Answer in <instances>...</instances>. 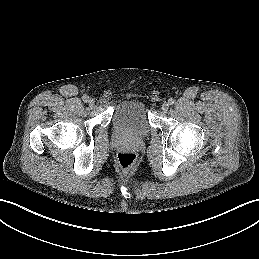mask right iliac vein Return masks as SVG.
I'll return each mask as SVG.
<instances>
[{"label": "right iliac vein", "mask_w": 259, "mask_h": 259, "mask_svg": "<svg viewBox=\"0 0 259 259\" xmlns=\"http://www.w3.org/2000/svg\"><path fill=\"white\" fill-rule=\"evenodd\" d=\"M88 104H89V106L92 108V107L95 106V101H94L93 99H90V100L88 101Z\"/></svg>", "instance_id": "right-iliac-vein-1"}]
</instances>
